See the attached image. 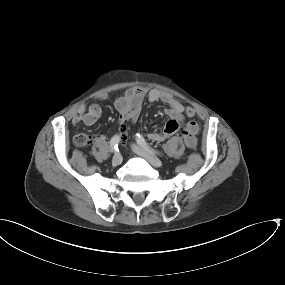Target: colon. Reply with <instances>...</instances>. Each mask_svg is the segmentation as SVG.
I'll use <instances>...</instances> for the list:
<instances>
[{
  "label": "colon",
  "instance_id": "obj_1",
  "mask_svg": "<svg viewBox=\"0 0 285 285\" xmlns=\"http://www.w3.org/2000/svg\"><path fill=\"white\" fill-rule=\"evenodd\" d=\"M186 115L191 117L195 114V110L193 107L191 106H187L186 107V111H185ZM90 143V138L88 135L84 134V133H81V134H78L76 137H75V144L78 146V147H84V146H87L88 144Z\"/></svg>",
  "mask_w": 285,
  "mask_h": 285
}]
</instances>
